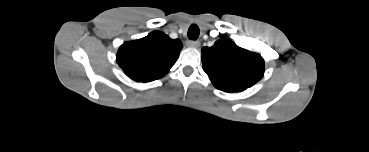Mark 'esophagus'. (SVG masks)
Listing matches in <instances>:
<instances>
[{
  "label": "esophagus",
  "mask_w": 369,
  "mask_h": 152,
  "mask_svg": "<svg viewBox=\"0 0 369 152\" xmlns=\"http://www.w3.org/2000/svg\"><path fill=\"white\" fill-rule=\"evenodd\" d=\"M187 46L192 47V48H199L200 47V42L191 40V41L187 42Z\"/></svg>",
  "instance_id": "1"
}]
</instances>
